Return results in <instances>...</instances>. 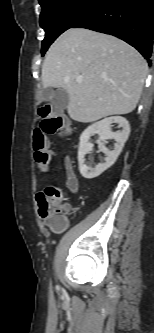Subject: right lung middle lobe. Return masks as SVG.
<instances>
[{"instance_id": "obj_1", "label": "right lung middle lobe", "mask_w": 154, "mask_h": 333, "mask_svg": "<svg viewBox=\"0 0 154 333\" xmlns=\"http://www.w3.org/2000/svg\"><path fill=\"white\" fill-rule=\"evenodd\" d=\"M100 0H39L42 7L40 26L45 31L42 56L64 31L87 15Z\"/></svg>"}]
</instances>
